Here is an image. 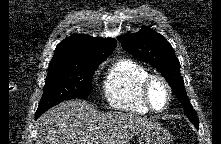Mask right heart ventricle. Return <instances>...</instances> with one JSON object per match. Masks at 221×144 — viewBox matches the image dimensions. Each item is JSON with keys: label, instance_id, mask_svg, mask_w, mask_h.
<instances>
[{"label": "right heart ventricle", "instance_id": "1", "mask_svg": "<svg viewBox=\"0 0 221 144\" xmlns=\"http://www.w3.org/2000/svg\"><path fill=\"white\" fill-rule=\"evenodd\" d=\"M149 71L139 62L122 58L117 60L107 73L104 95L108 104L117 110L146 114L150 110L141 98V83Z\"/></svg>", "mask_w": 221, "mask_h": 144}]
</instances>
